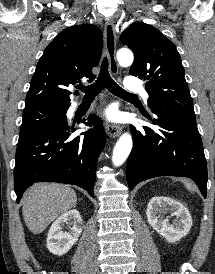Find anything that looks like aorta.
<instances>
[{
    "label": "aorta",
    "mask_w": 215,
    "mask_h": 274,
    "mask_svg": "<svg viewBox=\"0 0 215 274\" xmlns=\"http://www.w3.org/2000/svg\"><path fill=\"white\" fill-rule=\"evenodd\" d=\"M117 60L121 66H129L133 63V54L129 49H120L117 52ZM132 137L124 133L116 143L113 150L112 162L115 166H120L129 156L132 149Z\"/></svg>",
    "instance_id": "obj_1"
}]
</instances>
